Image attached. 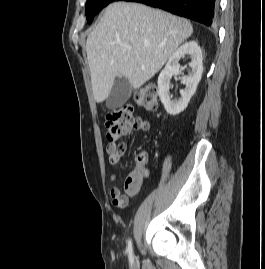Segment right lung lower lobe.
I'll return each mask as SVG.
<instances>
[{
  "instance_id": "1",
  "label": "right lung lower lobe",
  "mask_w": 265,
  "mask_h": 269,
  "mask_svg": "<svg viewBox=\"0 0 265 269\" xmlns=\"http://www.w3.org/2000/svg\"><path fill=\"white\" fill-rule=\"evenodd\" d=\"M138 2L161 8L210 26L216 16L217 0H116Z\"/></svg>"
}]
</instances>
